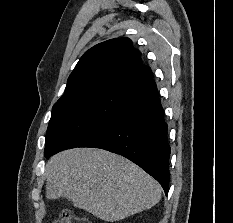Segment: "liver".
<instances>
[{
  "label": "liver",
  "mask_w": 233,
  "mask_h": 223,
  "mask_svg": "<svg viewBox=\"0 0 233 223\" xmlns=\"http://www.w3.org/2000/svg\"><path fill=\"white\" fill-rule=\"evenodd\" d=\"M46 197H65L103 221H119L150 209L161 197L160 183L122 155L75 147L46 163Z\"/></svg>",
  "instance_id": "liver-1"
}]
</instances>
